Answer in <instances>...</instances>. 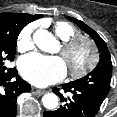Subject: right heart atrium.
I'll return each instance as SVG.
<instances>
[{
	"instance_id": "1",
	"label": "right heart atrium",
	"mask_w": 117,
	"mask_h": 117,
	"mask_svg": "<svg viewBox=\"0 0 117 117\" xmlns=\"http://www.w3.org/2000/svg\"><path fill=\"white\" fill-rule=\"evenodd\" d=\"M34 24L27 25L19 34L17 40V48L19 51H26L33 47V31Z\"/></svg>"
}]
</instances>
